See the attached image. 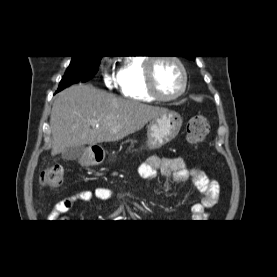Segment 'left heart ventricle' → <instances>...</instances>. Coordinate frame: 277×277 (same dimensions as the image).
<instances>
[{"instance_id":"left-heart-ventricle-1","label":"left heart ventricle","mask_w":277,"mask_h":277,"mask_svg":"<svg viewBox=\"0 0 277 277\" xmlns=\"http://www.w3.org/2000/svg\"><path fill=\"white\" fill-rule=\"evenodd\" d=\"M157 90L164 96L176 94L182 86L179 67L171 60L159 59L153 66Z\"/></svg>"}]
</instances>
